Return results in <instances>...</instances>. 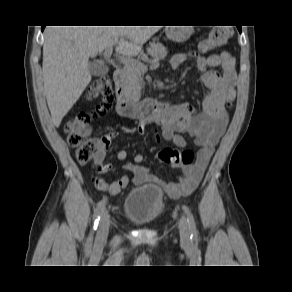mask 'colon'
<instances>
[{
    "label": "colon",
    "mask_w": 292,
    "mask_h": 292,
    "mask_svg": "<svg viewBox=\"0 0 292 292\" xmlns=\"http://www.w3.org/2000/svg\"><path fill=\"white\" fill-rule=\"evenodd\" d=\"M232 34V28L229 26L215 27L202 42L201 49L207 51L223 46L232 37ZM88 96L91 99L100 98L101 103L96 106L92 113H79L68 119L64 125L68 142L75 148L76 159L81 164L89 163L96 152L94 140L88 137L91 123L98 116L105 114L113 101V87L109 77L101 76L95 80L89 88ZM156 157L159 161L171 165H191L194 160V153L189 149L165 148ZM95 185L100 190L110 191V185L102 179H95Z\"/></svg>",
    "instance_id": "1"
}]
</instances>
